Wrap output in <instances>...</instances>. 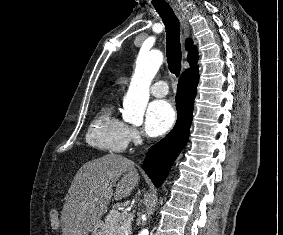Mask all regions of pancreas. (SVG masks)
Instances as JSON below:
<instances>
[{"label": "pancreas", "instance_id": "cf45deb5", "mask_svg": "<svg viewBox=\"0 0 283 235\" xmlns=\"http://www.w3.org/2000/svg\"><path fill=\"white\" fill-rule=\"evenodd\" d=\"M120 204L116 207L118 208ZM132 215L119 213L113 209L105 218V225L109 235H130Z\"/></svg>", "mask_w": 283, "mask_h": 235}]
</instances>
